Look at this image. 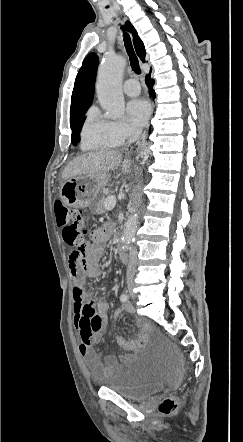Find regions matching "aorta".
<instances>
[{
  "label": "aorta",
  "instance_id": "aorta-1",
  "mask_svg": "<svg viewBox=\"0 0 243 442\" xmlns=\"http://www.w3.org/2000/svg\"><path fill=\"white\" fill-rule=\"evenodd\" d=\"M125 60L117 55H107L98 71L97 95L108 117L116 119L125 111L121 81ZM138 225L136 208H132L122 232V243L128 247L134 241Z\"/></svg>",
  "mask_w": 243,
  "mask_h": 442
}]
</instances>
